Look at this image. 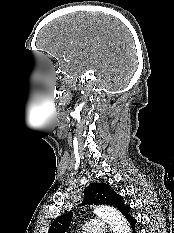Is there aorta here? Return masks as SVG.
<instances>
[{"mask_svg":"<svg viewBox=\"0 0 174 233\" xmlns=\"http://www.w3.org/2000/svg\"><path fill=\"white\" fill-rule=\"evenodd\" d=\"M94 213L109 224L113 233H130L127 222L115 208L101 205L94 208Z\"/></svg>","mask_w":174,"mask_h":233,"instance_id":"aorta-1","label":"aorta"}]
</instances>
